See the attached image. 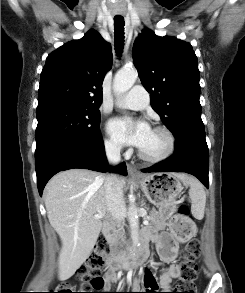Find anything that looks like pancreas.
I'll list each match as a JSON object with an SVG mask.
<instances>
[{
  "label": "pancreas",
  "mask_w": 245,
  "mask_h": 293,
  "mask_svg": "<svg viewBox=\"0 0 245 293\" xmlns=\"http://www.w3.org/2000/svg\"><path fill=\"white\" fill-rule=\"evenodd\" d=\"M146 219L150 222L147 228L151 230H163L167 226L166 220L161 218L154 209L149 211ZM107 241L110 245L111 255L116 254L119 251L118 247L125 243L124 230L122 228L114 229L113 233L107 236Z\"/></svg>",
  "instance_id": "obj_1"
}]
</instances>
